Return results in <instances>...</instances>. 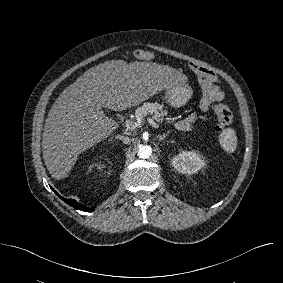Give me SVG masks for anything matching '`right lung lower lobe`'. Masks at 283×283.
<instances>
[{
  "label": "right lung lower lobe",
  "mask_w": 283,
  "mask_h": 283,
  "mask_svg": "<svg viewBox=\"0 0 283 283\" xmlns=\"http://www.w3.org/2000/svg\"><path fill=\"white\" fill-rule=\"evenodd\" d=\"M53 190V189H52ZM54 191V190H53ZM56 193V195H58L65 203L69 204L70 206L74 207L75 209H79V210H83L86 212H92L94 210V208H89V207H85L81 204H79L77 201L73 200V199H66L61 197L56 191H54Z\"/></svg>",
  "instance_id": "obj_1"
}]
</instances>
